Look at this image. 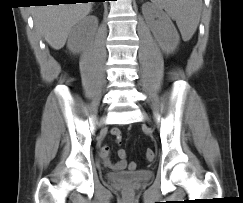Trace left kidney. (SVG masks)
Returning <instances> with one entry per match:
<instances>
[{
    "label": "left kidney",
    "instance_id": "1",
    "mask_svg": "<svg viewBox=\"0 0 243 203\" xmlns=\"http://www.w3.org/2000/svg\"><path fill=\"white\" fill-rule=\"evenodd\" d=\"M142 12L161 50L167 54L175 51L180 42V37L168 15L148 3L143 5Z\"/></svg>",
    "mask_w": 243,
    "mask_h": 203
}]
</instances>
